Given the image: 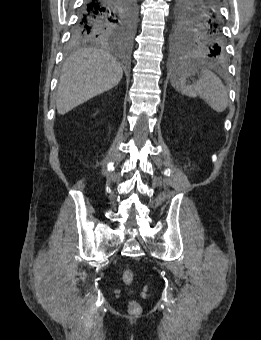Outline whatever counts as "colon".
<instances>
[{
    "label": "colon",
    "mask_w": 261,
    "mask_h": 340,
    "mask_svg": "<svg viewBox=\"0 0 261 340\" xmlns=\"http://www.w3.org/2000/svg\"><path fill=\"white\" fill-rule=\"evenodd\" d=\"M122 280L126 286L131 287L134 282V273L132 270L124 269L122 271ZM128 309L131 313H139L141 311V305L136 300H130Z\"/></svg>",
    "instance_id": "colon-1"
}]
</instances>
